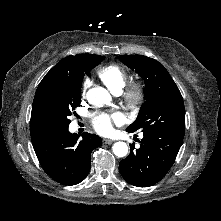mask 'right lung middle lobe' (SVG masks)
<instances>
[{"label": "right lung middle lobe", "instance_id": "right-lung-middle-lobe-1", "mask_svg": "<svg viewBox=\"0 0 221 221\" xmlns=\"http://www.w3.org/2000/svg\"><path fill=\"white\" fill-rule=\"evenodd\" d=\"M105 57L91 55L78 65V74L84 76L92 68L100 64ZM81 84L69 85L62 88H48L40 101V116L44 124L52 132L68 129V117L80 105ZM75 113V112H74Z\"/></svg>", "mask_w": 221, "mask_h": 221}]
</instances>
